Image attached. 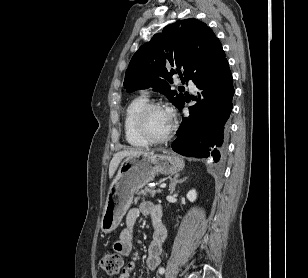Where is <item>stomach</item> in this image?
Masks as SVG:
<instances>
[{
  "instance_id": "0dacf381",
  "label": "stomach",
  "mask_w": 308,
  "mask_h": 278,
  "mask_svg": "<svg viewBox=\"0 0 308 278\" xmlns=\"http://www.w3.org/2000/svg\"><path fill=\"white\" fill-rule=\"evenodd\" d=\"M184 168V161L171 154L127 156L115 175L102 214L100 229L114 231L132 204L134 193L153 181L157 174H174Z\"/></svg>"
}]
</instances>
